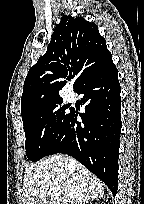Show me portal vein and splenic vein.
I'll return each instance as SVG.
<instances>
[{"label": "portal vein and splenic vein", "instance_id": "obj_1", "mask_svg": "<svg viewBox=\"0 0 144 204\" xmlns=\"http://www.w3.org/2000/svg\"><path fill=\"white\" fill-rule=\"evenodd\" d=\"M49 194L52 196V197H59L61 195V191L59 188H56V187H51L49 189Z\"/></svg>", "mask_w": 144, "mask_h": 204}]
</instances>
